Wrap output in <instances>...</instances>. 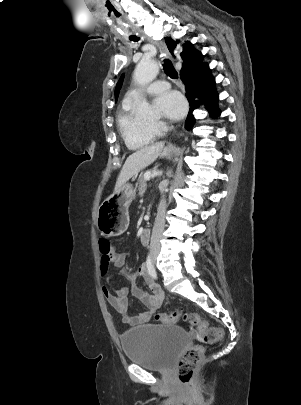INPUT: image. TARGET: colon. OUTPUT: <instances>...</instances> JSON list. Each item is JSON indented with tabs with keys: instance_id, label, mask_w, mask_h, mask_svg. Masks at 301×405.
<instances>
[{
	"instance_id": "1",
	"label": "colon",
	"mask_w": 301,
	"mask_h": 405,
	"mask_svg": "<svg viewBox=\"0 0 301 405\" xmlns=\"http://www.w3.org/2000/svg\"><path fill=\"white\" fill-rule=\"evenodd\" d=\"M99 249L105 256L109 255L112 245L106 235H101ZM155 320L162 324H172L179 320L189 323L197 328V339L200 344L189 348L178 363V377L181 383L188 385L204 354L203 345H214L221 341L223 332L219 328L208 327L200 314L186 313L178 310L172 313H158Z\"/></svg>"
}]
</instances>
